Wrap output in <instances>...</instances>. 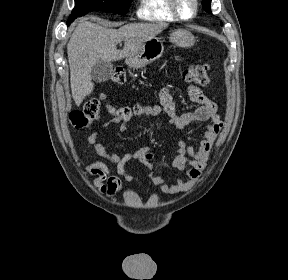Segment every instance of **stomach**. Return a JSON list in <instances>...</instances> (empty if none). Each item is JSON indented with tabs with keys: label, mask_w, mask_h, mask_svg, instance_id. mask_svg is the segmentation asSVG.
I'll list each match as a JSON object with an SVG mask.
<instances>
[{
	"label": "stomach",
	"mask_w": 288,
	"mask_h": 280,
	"mask_svg": "<svg viewBox=\"0 0 288 280\" xmlns=\"http://www.w3.org/2000/svg\"><path fill=\"white\" fill-rule=\"evenodd\" d=\"M169 41L176 46L189 48L194 45L195 38L186 29H176L170 33ZM164 51V46L159 38L154 37L143 43L139 50L126 58V64L134 69L145 67L146 65L159 59Z\"/></svg>",
	"instance_id": "1"
}]
</instances>
